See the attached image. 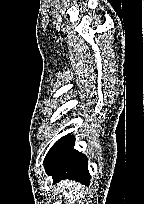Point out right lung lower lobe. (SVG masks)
Here are the masks:
<instances>
[{
  "instance_id": "98d812e1",
  "label": "right lung lower lobe",
  "mask_w": 144,
  "mask_h": 204,
  "mask_svg": "<svg viewBox=\"0 0 144 204\" xmlns=\"http://www.w3.org/2000/svg\"><path fill=\"white\" fill-rule=\"evenodd\" d=\"M74 136L66 135L59 139L49 150L45 157L44 167L54 182L62 179H74L89 184L90 174L87 169V158L76 151Z\"/></svg>"
}]
</instances>
